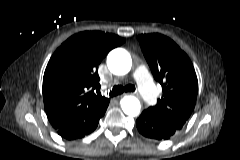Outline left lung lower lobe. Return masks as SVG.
<instances>
[{
    "label": "left lung lower lobe",
    "mask_w": 240,
    "mask_h": 160,
    "mask_svg": "<svg viewBox=\"0 0 240 160\" xmlns=\"http://www.w3.org/2000/svg\"><path fill=\"white\" fill-rule=\"evenodd\" d=\"M136 127L144 137L156 141L168 140L179 130L164 122L150 107L136 120Z\"/></svg>",
    "instance_id": "0a47b994"
}]
</instances>
